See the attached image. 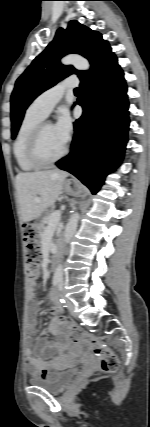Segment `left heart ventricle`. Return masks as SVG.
Returning a JSON list of instances; mask_svg holds the SVG:
<instances>
[{
    "label": "left heart ventricle",
    "mask_w": 150,
    "mask_h": 427,
    "mask_svg": "<svg viewBox=\"0 0 150 427\" xmlns=\"http://www.w3.org/2000/svg\"><path fill=\"white\" fill-rule=\"evenodd\" d=\"M64 144L55 130L54 125L45 127L40 141V155L49 160L57 157L65 148Z\"/></svg>",
    "instance_id": "b2bd125f"
}]
</instances>
